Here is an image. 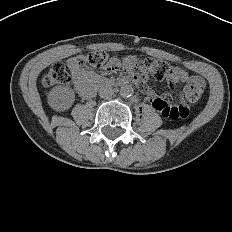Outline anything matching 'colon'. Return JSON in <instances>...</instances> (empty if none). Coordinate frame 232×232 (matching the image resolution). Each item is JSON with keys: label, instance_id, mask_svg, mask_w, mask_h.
Wrapping results in <instances>:
<instances>
[{"label": "colon", "instance_id": "obj_1", "mask_svg": "<svg viewBox=\"0 0 232 232\" xmlns=\"http://www.w3.org/2000/svg\"><path fill=\"white\" fill-rule=\"evenodd\" d=\"M78 63L84 65L87 63L89 66L98 69H104L106 72H114L115 68L118 66L117 62L110 59L108 54L103 51H93L87 54L85 57H78ZM140 65L142 71L146 74L151 75L157 80H162L168 77L173 69L172 67L164 61L146 58L140 60ZM70 80L69 74L63 63L53 64L47 73L43 77V83L46 86H55L66 84ZM203 89L194 85H187L184 88L185 98L188 104H196L201 96ZM167 105L163 107L162 114L170 119H180L187 117L189 113L188 106L186 104H173L171 103V98L167 95L160 97V100L156 101V105L163 106V102Z\"/></svg>", "mask_w": 232, "mask_h": 232}]
</instances>
